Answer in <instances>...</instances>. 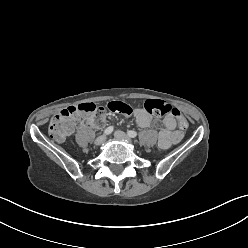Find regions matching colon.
I'll return each instance as SVG.
<instances>
[{"mask_svg": "<svg viewBox=\"0 0 248 248\" xmlns=\"http://www.w3.org/2000/svg\"><path fill=\"white\" fill-rule=\"evenodd\" d=\"M107 107L112 112L125 114L126 117L134 116L132 107L127 103L112 101L108 103ZM141 108L155 117L171 114L176 117L181 130L188 128V122L182 113L166 102L149 99L142 104ZM80 117H86L87 120L95 125H101L107 119L104 108L95 103L88 102L77 106H69L51 119L49 124L50 136L54 140L62 141L71 133L75 121Z\"/></svg>", "mask_w": 248, "mask_h": 248, "instance_id": "colon-1", "label": "colon"}]
</instances>
